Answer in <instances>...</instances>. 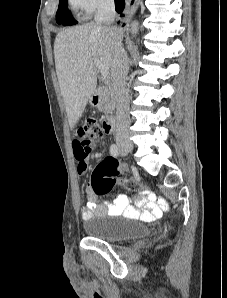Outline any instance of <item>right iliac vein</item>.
Returning <instances> with one entry per match:
<instances>
[{
  "label": "right iliac vein",
  "instance_id": "obj_1",
  "mask_svg": "<svg viewBox=\"0 0 227 298\" xmlns=\"http://www.w3.org/2000/svg\"><path fill=\"white\" fill-rule=\"evenodd\" d=\"M120 148L125 152H132L133 145L131 143H121Z\"/></svg>",
  "mask_w": 227,
  "mask_h": 298
}]
</instances>
